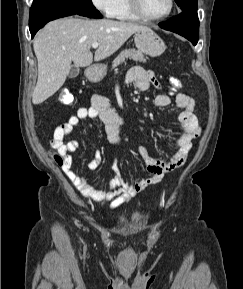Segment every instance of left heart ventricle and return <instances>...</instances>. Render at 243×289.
Returning a JSON list of instances; mask_svg holds the SVG:
<instances>
[{
  "label": "left heart ventricle",
  "instance_id": "b2bd125f",
  "mask_svg": "<svg viewBox=\"0 0 243 289\" xmlns=\"http://www.w3.org/2000/svg\"><path fill=\"white\" fill-rule=\"evenodd\" d=\"M144 12L149 16H160L169 8V0H141Z\"/></svg>",
  "mask_w": 243,
  "mask_h": 289
}]
</instances>
